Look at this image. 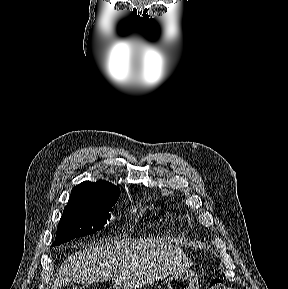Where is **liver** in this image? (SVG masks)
<instances>
[{"mask_svg": "<svg viewBox=\"0 0 288 289\" xmlns=\"http://www.w3.org/2000/svg\"><path fill=\"white\" fill-rule=\"evenodd\" d=\"M192 264L180 248L161 239L100 241L64 261L52 289L73 279L93 284L110 278L116 289H140Z\"/></svg>", "mask_w": 288, "mask_h": 289, "instance_id": "liver-1", "label": "liver"}]
</instances>
